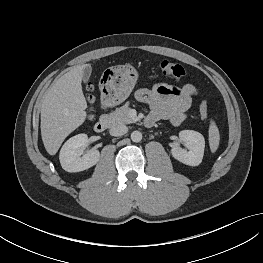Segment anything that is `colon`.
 <instances>
[{
	"mask_svg": "<svg viewBox=\"0 0 263 263\" xmlns=\"http://www.w3.org/2000/svg\"><path fill=\"white\" fill-rule=\"evenodd\" d=\"M160 72L164 76H168L174 79H182L185 76L184 68L169 60H163L159 65ZM200 115L203 119L208 117V107L205 101H202L199 106Z\"/></svg>",
	"mask_w": 263,
	"mask_h": 263,
	"instance_id": "5ec220e1",
	"label": "colon"
}]
</instances>
